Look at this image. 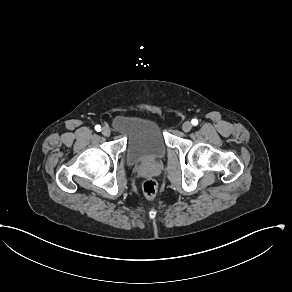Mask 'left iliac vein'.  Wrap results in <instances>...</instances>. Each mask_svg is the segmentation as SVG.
I'll return each mask as SVG.
<instances>
[{
    "mask_svg": "<svg viewBox=\"0 0 292 292\" xmlns=\"http://www.w3.org/2000/svg\"><path fill=\"white\" fill-rule=\"evenodd\" d=\"M182 129L184 132H189L192 129V124L189 121H186L182 125Z\"/></svg>",
    "mask_w": 292,
    "mask_h": 292,
    "instance_id": "obj_1",
    "label": "left iliac vein"
}]
</instances>
